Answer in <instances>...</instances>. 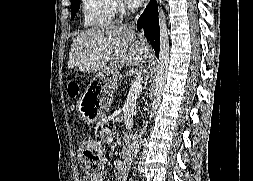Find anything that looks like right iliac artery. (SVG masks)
Segmentation results:
<instances>
[{
  "label": "right iliac artery",
  "instance_id": "82829eb1",
  "mask_svg": "<svg viewBox=\"0 0 253 181\" xmlns=\"http://www.w3.org/2000/svg\"><path fill=\"white\" fill-rule=\"evenodd\" d=\"M138 169L140 173L143 171V168L141 167V162H139Z\"/></svg>",
  "mask_w": 253,
  "mask_h": 181
}]
</instances>
